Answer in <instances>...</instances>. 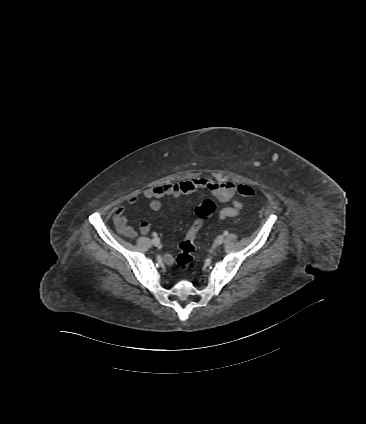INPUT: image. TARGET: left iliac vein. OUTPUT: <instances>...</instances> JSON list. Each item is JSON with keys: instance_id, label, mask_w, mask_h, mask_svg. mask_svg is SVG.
I'll return each mask as SVG.
<instances>
[{"instance_id": "4c4485c4", "label": "left iliac vein", "mask_w": 366, "mask_h": 424, "mask_svg": "<svg viewBox=\"0 0 366 424\" xmlns=\"http://www.w3.org/2000/svg\"><path fill=\"white\" fill-rule=\"evenodd\" d=\"M224 242V236L220 235L216 238V244L221 245Z\"/></svg>"}]
</instances>
